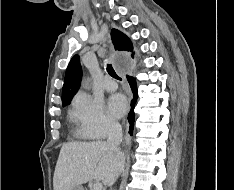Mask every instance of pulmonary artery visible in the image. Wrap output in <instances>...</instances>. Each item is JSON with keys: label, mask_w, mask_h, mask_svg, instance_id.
<instances>
[{"label": "pulmonary artery", "mask_w": 234, "mask_h": 190, "mask_svg": "<svg viewBox=\"0 0 234 190\" xmlns=\"http://www.w3.org/2000/svg\"><path fill=\"white\" fill-rule=\"evenodd\" d=\"M104 89L110 92L117 89V83L109 75L105 77Z\"/></svg>", "instance_id": "obj_1"}]
</instances>
